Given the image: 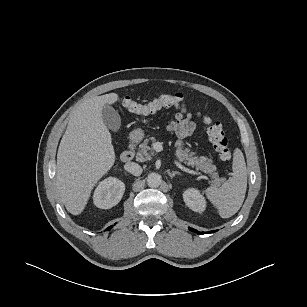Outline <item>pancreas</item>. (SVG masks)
Masks as SVG:
<instances>
[{"instance_id":"obj_1","label":"pancreas","mask_w":307,"mask_h":307,"mask_svg":"<svg viewBox=\"0 0 307 307\" xmlns=\"http://www.w3.org/2000/svg\"><path fill=\"white\" fill-rule=\"evenodd\" d=\"M152 141L155 142L154 137H150L149 139H145L144 142L139 145V150L136 154V160L140 162H144L146 160H150L154 155V150L148 144ZM177 157L180 161L184 162L188 166L196 167L197 170H201L204 173L210 174L213 178L211 183L213 185L219 186L223 182V179L217 177L216 166L213 164L212 159H209L205 156H195V152H190L189 148H185L184 150H178L176 152Z\"/></svg>"}]
</instances>
